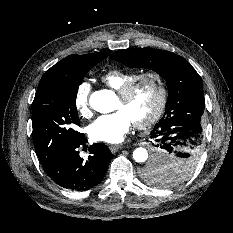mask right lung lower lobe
<instances>
[{"label":"right lung lower lobe","instance_id":"98d812e1","mask_svg":"<svg viewBox=\"0 0 233 233\" xmlns=\"http://www.w3.org/2000/svg\"><path fill=\"white\" fill-rule=\"evenodd\" d=\"M82 137L52 159L41 160L46 174L58 185L73 191H86L104 178L113 154L106 145L96 143L90 146V156L85 161L79 156V146L85 145Z\"/></svg>","mask_w":233,"mask_h":233}]
</instances>
